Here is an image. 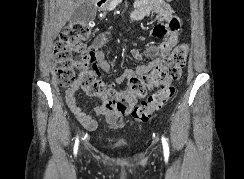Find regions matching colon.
I'll use <instances>...</instances> for the list:
<instances>
[{"mask_svg": "<svg viewBox=\"0 0 244 179\" xmlns=\"http://www.w3.org/2000/svg\"><path fill=\"white\" fill-rule=\"evenodd\" d=\"M84 23V26H66L55 46L56 74L61 86L69 89L81 87L88 96L103 101L105 109L112 115L124 114L130 110L135 121H148L174 97L176 89L173 83L182 75L187 60V45L178 44L149 74L131 76L128 79L126 102L121 94L109 88L101 79L93 56L83 44L91 36L94 26L90 22ZM149 90L154 92L142 101L143 105L134 106L136 98ZM90 121L87 118L85 123Z\"/></svg>", "mask_w": 244, "mask_h": 179, "instance_id": "obj_1", "label": "colon"}]
</instances>
